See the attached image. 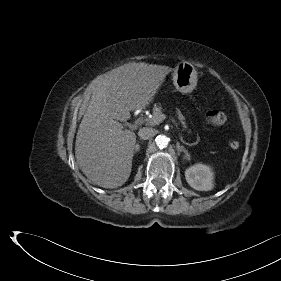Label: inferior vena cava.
Returning a JSON list of instances; mask_svg holds the SVG:
<instances>
[{"label":"inferior vena cava","instance_id":"1","mask_svg":"<svg viewBox=\"0 0 281 281\" xmlns=\"http://www.w3.org/2000/svg\"><path fill=\"white\" fill-rule=\"evenodd\" d=\"M155 134H156L155 129L149 127H143L138 132V136L143 140L150 139L154 137Z\"/></svg>","mask_w":281,"mask_h":281}]
</instances>
